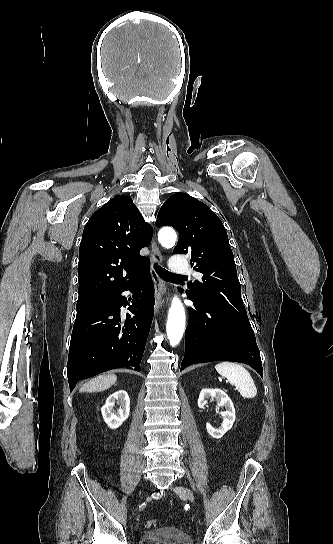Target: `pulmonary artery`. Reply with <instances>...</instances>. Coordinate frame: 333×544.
Masks as SVG:
<instances>
[{
    "label": "pulmonary artery",
    "instance_id": "pulmonary-artery-1",
    "mask_svg": "<svg viewBox=\"0 0 333 544\" xmlns=\"http://www.w3.org/2000/svg\"><path fill=\"white\" fill-rule=\"evenodd\" d=\"M171 270L176 274H187L190 272V267L182 256H174L171 260Z\"/></svg>",
    "mask_w": 333,
    "mask_h": 544
}]
</instances>
